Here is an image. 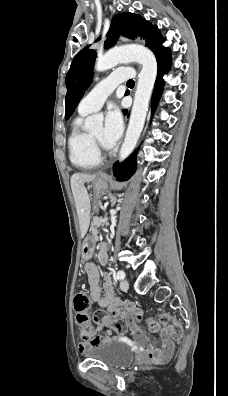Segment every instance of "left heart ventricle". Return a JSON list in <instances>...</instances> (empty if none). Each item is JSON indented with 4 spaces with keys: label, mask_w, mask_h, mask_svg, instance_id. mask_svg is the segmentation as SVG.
<instances>
[{
    "label": "left heart ventricle",
    "mask_w": 228,
    "mask_h": 396,
    "mask_svg": "<svg viewBox=\"0 0 228 396\" xmlns=\"http://www.w3.org/2000/svg\"><path fill=\"white\" fill-rule=\"evenodd\" d=\"M103 131L104 128L102 126L98 127L95 131H93V135L104 145L106 146V144L104 143L103 140ZM107 147V146H106Z\"/></svg>",
    "instance_id": "obj_1"
}]
</instances>
